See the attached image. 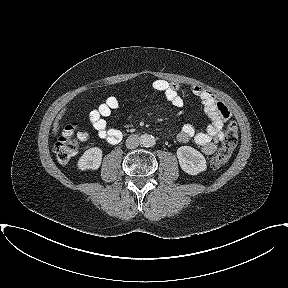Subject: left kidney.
Wrapping results in <instances>:
<instances>
[{
	"label": "left kidney",
	"instance_id": "left-kidney-1",
	"mask_svg": "<svg viewBox=\"0 0 288 288\" xmlns=\"http://www.w3.org/2000/svg\"><path fill=\"white\" fill-rule=\"evenodd\" d=\"M177 157L182 170L190 175H197L207 168L205 157L190 146L179 147Z\"/></svg>",
	"mask_w": 288,
	"mask_h": 288
}]
</instances>
